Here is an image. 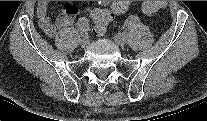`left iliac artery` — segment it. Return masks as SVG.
<instances>
[{
    "label": "left iliac artery",
    "mask_w": 207,
    "mask_h": 121,
    "mask_svg": "<svg viewBox=\"0 0 207 121\" xmlns=\"http://www.w3.org/2000/svg\"><path fill=\"white\" fill-rule=\"evenodd\" d=\"M136 16L135 15H130L127 19L124 20V26L125 27H130L135 21H136Z\"/></svg>",
    "instance_id": "obj_1"
}]
</instances>
